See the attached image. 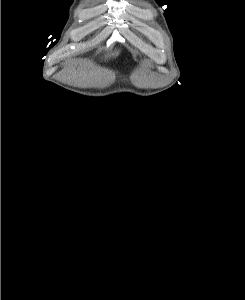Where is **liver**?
<instances>
[{
    "label": "liver",
    "mask_w": 245,
    "mask_h": 300,
    "mask_svg": "<svg viewBox=\"0 0 245 300\" xmlns=\"http://www.w3.org/2000/svg\"><path fill=\"white\" fill-rule=\"evenodd\" d=\"M118 53H113V54H111V56H116Z\"/></svg>",
    "instance_id": "obj_1"
}]
</instances>
